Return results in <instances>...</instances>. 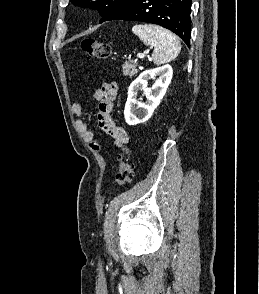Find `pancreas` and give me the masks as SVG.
<instances>
[{"mask_svg":"<svg viewBox=\"0 0 259 294\" xmlns=\"http://www.w3.org/2000/svg\"><path fill=\"white\" fill-rule=\"evenodd\" d=\"M138 64L133 61H126L123 64V75L126 77L132 78L134 75L138 73Z\"/></svg>","mask_w":259,"mask_h":294,"instance_id":"cf45deb5","label":"pancreas"}]
</instances>
